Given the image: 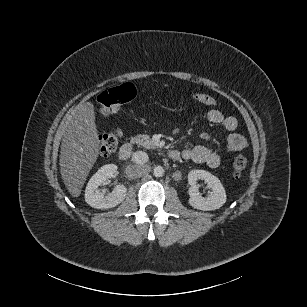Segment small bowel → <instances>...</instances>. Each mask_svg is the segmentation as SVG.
I'll return each mask as SVG.
<instances>
[{
  "label": "small bowel",
  "instance_id": "1",
  "mask_svg": "<svg viewBox=\"0 0 307 307\" xmlns=\"http://www.w3.org/2000/svg\"><path fill=\"white\" fill-rule=\"evenodd\" d=\"M206 118L210 123L221 125L226 131L230 132L227 140L226 153L229 154L232 152L240 151L247 146L245 137L234 132L238 125L236 118L232 116H225L218 109L208 110ZM178 153V159L182 157L185 160L206 164L211 168L218 167L223 158L222 154L203 145H196L192 148H186L182 150L181 153Z\"/></svg>",
  "mask_w": 307,
  "mask_h": 307
}]
</instances>
